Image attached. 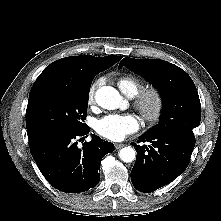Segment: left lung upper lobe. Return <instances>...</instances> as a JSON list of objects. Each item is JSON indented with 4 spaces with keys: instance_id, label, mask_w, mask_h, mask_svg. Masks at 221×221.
Wrapping results in <instances>:
<instances>
[{
    "instance_id": "obj_1",
    "label": "left lung upper lobe",
    "mask_w": 221,
    "mask_h": 221,
    "mask_svg": "<svg viewBox=\"0 0 221 221\" xmlns=\"http://www.w3.org/2000/svg\"><path fill=\"white\" fill-rule=\"evenodd\" d=\"M123 65L152 82L163 98L160 123L145 134L177 136L195 142L193 129L200 124L201 104L190 76L163 60L124 58L119 68Z\"/></svg>"
}]
</instances>
